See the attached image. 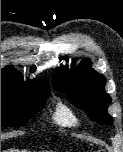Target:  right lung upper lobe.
<instances>
[{
    "label": "right lung upper lobe",
    "mask_w": 123,
    "mask_h": 152,
    "mask_svg": "<svg viewBox=\"0 0 123 152\" xmlns=\"http://www.w3.org/2000/svg\"><path fill=\"white\" fill-rule=\"evenodd\" d=\"M1 86H10L18 90L22 94H49L50 86L46 79H37L33 82L28 80L24 82L20 74L11 67H6L1 70Z\"/></svg>",
    "instance_id": "right-lung-upper-lobe-1"
}]
</instances>
